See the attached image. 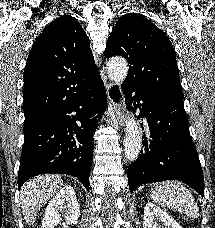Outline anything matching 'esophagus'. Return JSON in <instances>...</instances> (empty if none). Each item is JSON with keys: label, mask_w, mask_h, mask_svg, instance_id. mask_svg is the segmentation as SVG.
Returning a JSON list of instances; mask_svg holds the SVG:
<instances>
[{"label": "esophagus", "mask_w": 215, "mask_h": 228, "mask_svg": "<svg viewBox=\"0 0 215 228\" xmlns=\"http://www.w3.org/2000/svg\"><path fill=\"white\" fill-rule=\"evenodd\" d=\"M107 96L115 115L117 124L120 127H123L126 105L120 85H118V83L109 82L107 84Z\"/></svg>", "instance_id": "obj_1"}]
</instances>
